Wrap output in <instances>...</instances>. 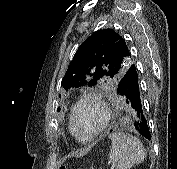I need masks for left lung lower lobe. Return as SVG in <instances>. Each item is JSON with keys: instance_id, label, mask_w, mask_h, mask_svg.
<instances>
[{"instance_id": "0a47b994", "label": "left lung lower lobe", "mask_w": 177, "mask_h": 169, "mask_svg": "<svg viewBox=\"0 0 177 169\" xmlns=\"http://www.w3.org/2000/svg\"><path fill=\"white\" fill-rule=\"evenodd\" d=\"M116 91L126 99L137 113L138 120L135 122V129L148 140L151 139L149 126L144 115V109L140 98L139 78L137 68L132 64L117 85Z\"/></svg>"}]
</instances>
